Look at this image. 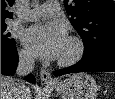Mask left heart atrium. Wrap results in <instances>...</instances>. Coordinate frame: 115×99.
I'll use <instances>...</instances> for the list:
<instances>
[{"instance_id": "1", "label": "left heart atrium", "mask_w": 115, "mask_h": 99, "mask_svg": "<svg viewBox=\"0 0 115 99\" xmlns=\"http://www.w3.org/2000/svg\"><path fill=\"white\" fill-rule=\"evenodd\" d=\"M23 42L29 51L42 59L59 58L68 42L65 28L59 24H35L23 35Z\"/></svg>"}]
</instances>
